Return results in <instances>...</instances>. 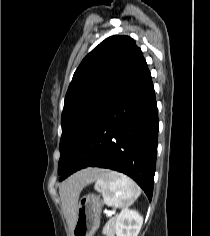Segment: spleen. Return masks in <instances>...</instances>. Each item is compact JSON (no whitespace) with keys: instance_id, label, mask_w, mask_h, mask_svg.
Masks as SVG:
<instances>
[{"instance_id":"3e777b00","label":"spleen","mask_w":210,"mask_h":236,"mask_svg":"<svg viewBox=\"0 0 210 236\" xmlns=\"http://www.w3.org/2000/svg\"><path fill=\"white\" fill-rule=\"evenodd\" d=\"M95 190L103 196L107 205L129 207L140 196L138 185L128 176L115 171H104L96 179Z\"/></svg>"}]
</instances>
